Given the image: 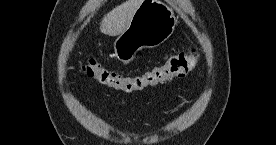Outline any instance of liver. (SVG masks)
<instances>
[{"label":"liver","mask_w":276,"mask_h":145,"mask_svg":"<svg viewBox=\"0 0 276 145\" xmlns=\"http://www.w3.org/2000/svg\"><path fill=\"white\" fill-rule=\"evenodd\" d=\"M142 0H126L107 13L101 23L100 31L109 36H117L123 33L129 26L132 17Z\"/></svg>","instance_id":"1"}]
</instances>
